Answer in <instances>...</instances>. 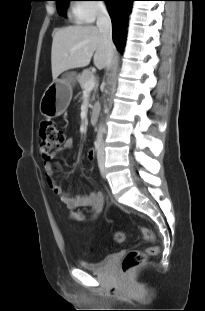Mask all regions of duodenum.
I'll return each mask as SVG.
<instances>
[{"instance_id": "obj_1", "label": "duodenum", "mask_w": 205, "mask_h": 311, "mask_svg": "<svg viewBox=\"0 0 205 311\" xmlns=\"http://www.w3.org/2000/svg\"><path fill=\"white\" fill-rule=\"evenodd\" d=\"M99 111H100V106L97 103H94L89 112V118L92 124L97 123Z\"/></svg>"}]
</instances>
